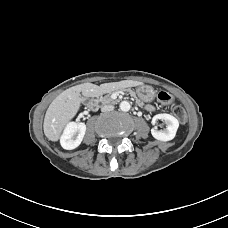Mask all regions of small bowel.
Returning a JSON list of instances; mask_svg holds the SVG:
<instances>
[{
  "label": "small bowel",
  "instance_id": "small-bowel-1",
  "mask_svg": "<svg viewBox=\"0 0 228 228\" xmlns=\"http://www.w3.org/2000/svg\"><path fill=\"white\" fill-rule=\"evenodd\" d=\"M147 109L148 110H153V107L149 105V106H147Z\"/></svg>",
  "mask_w": 228,
  "mask_h": 228
}]
</instances>
